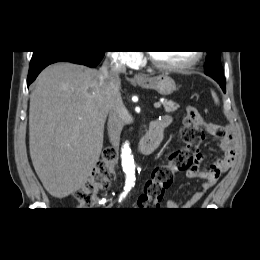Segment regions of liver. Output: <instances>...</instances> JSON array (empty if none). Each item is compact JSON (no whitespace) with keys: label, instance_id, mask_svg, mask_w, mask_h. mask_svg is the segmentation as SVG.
I'll list each match as a JSON object with an SVG mask.
<instances>
[{"label":"liver","instance_id":"1","mask_svg":"<svg viewBox=\"0 0 260 260\" xmlns=\"http://www.w3.org/2000/svg\"><path fill=\"white\" fill-rule=\"evenodd\" d=\"M108 112L97 69L60 62L35 80L29 107L30 156L53 197H67L87 181L103 148Z\"/></svg>","mask_w":260,"mask_h":260}]
</instances>
